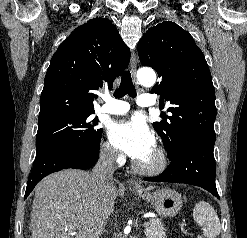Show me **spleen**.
Here are the masks:
<instances>
[{
    "instance_id": "3e777b00",
    "label": "spleen",
    "mask_w": 247,
    "mask_h": 238,
    "mask_svg": "<svg viewBox=\"0 0 247 238\" xmlns=\"http://www.w3.org/2000/svg\"><path fill=\"white\" fill-rule=\"evenodd\" d=\"M195 222L202 226L203 235L207 238H216L221 232V224L213 207L205 201L198 202L193 209Z\"/></svg>"
}]
</instances>
